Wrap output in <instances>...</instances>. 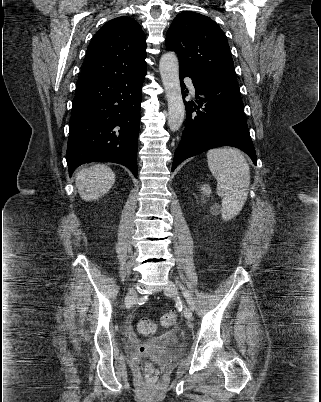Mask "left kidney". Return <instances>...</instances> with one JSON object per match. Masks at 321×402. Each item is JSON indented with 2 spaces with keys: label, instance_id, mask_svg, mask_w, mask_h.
<instances>
[{
  "label": "left kidney",
  "instance_id": "obj_1",
  "mask_svg": "<svg viewBox=\"0 0 321 402\" xmlns=\"http://www.w3.org/2000/svg\"><path fill=\"white\" fill-rule=\"evenodd\" d=\"M201 190H202V193L204 194V195H210V193H211V188L209 187V185H204L202 188H201Z\"/></svg>",
  "mask_w": 321,
  "mask_h": 402
}]
</instances>
